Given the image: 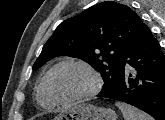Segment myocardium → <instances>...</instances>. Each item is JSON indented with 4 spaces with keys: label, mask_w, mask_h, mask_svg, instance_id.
Returning a JSON list of instances; mask_svg holds the SVG:
<instances>
[{
    "label": "myocardium",
    "mask_w": 165,
    "mask_h": 120,
    "mask_svg": "<svg viewBox=\"0 0 165 120\" xmlns=\"http://www.w3.org/2000/svg\"><path fill=\"white\" fill-rule=\"evenodd\" d=\"M65 65H76V66H79V67H82L83 69H85L91 75V77L93 79V84H92L91 88L89 90L85 91L84 93L77 95L75 97L69 98V99H60V98L56 97L50 88L49 80H50L52 73L56 69H58L59 67L65 66ZM43 82H44L45 91H46L47 95L49 96V98L55 104H62V105L72 104V103H76V102H80V101L92 98L100 92V90L102 89V85H103V81H102L100 74L92 65H90L89 63H87L84 60L74 59V58L63 59V60L55 63L45 74V76L43 78Z\"/></svg>",
    "instance_id": "myocardium-1"
}]
</instances>
